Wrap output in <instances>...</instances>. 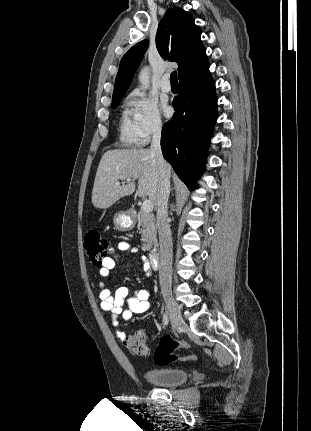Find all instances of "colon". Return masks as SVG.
I'll return each instance as SVG.
<instances>
[{
    "mask_svg": "<svg viewBox=\"0 0 311 431\" xmlns=\"http://www.w3.org/2000/svg\"><path fill=\"white\" fill-rule=\"evenodd\" d=\"M84 246L91 263L101 268L109 249L107 240L101 237L99 233L92 232L86 237ZM123 345L127 350L138 356H144L148 353L146 335L142 331H137L125 337ZM179 348L188 349L190 345L186 342L174 340L169 335L163 336L155 349L154 362L163 366L176 361H195L197 359L193 354H174L175 350Z\"/></svg>",
    "mask_w": 311,
    "mask_h": 431,
    "instance_id": "1",
    "label": "colon"
}]
</instances>
